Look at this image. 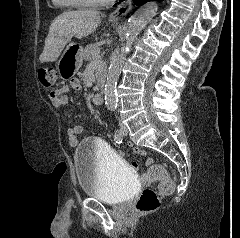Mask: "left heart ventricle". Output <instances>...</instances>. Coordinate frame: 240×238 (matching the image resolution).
I'll return each mask as SVG.
<instances>
[{
  "label": "left heart ventricle",
  "instance_id": "1",
  "mask_svg": "<svg viewBox=\"0 0 240 238\" xmlns=\"http://www.w3.org/2000/svg\"><path fill=\"white\" fill-rule=\"evenodd\" d=\"M88 1H103V0H88Z\"/></svg>",
  "mask_w": 240,
  "mask_h": 238
}]
</instances>
